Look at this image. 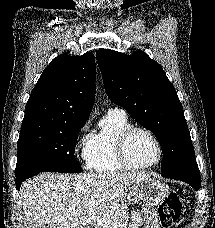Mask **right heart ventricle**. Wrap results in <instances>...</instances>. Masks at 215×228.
<instances>
[{
  "instance_id": "obj_1",
  "label": "right heart ventricle",
  "mask_w": 215,
  "mask_h": 228,
  "mask_svg": "<svg viewBox=\"0 0 215 228\" xmlns=\"http://www.w3.org/2000/svg\"><path fill=\"white\" fill-rule=\"evenodd\" d=\"M129 126L131 123L124 111L107 112L99 130L89 134L84 141L83 158L89 170L103 174L125 170L118 161L115 146L119 134Z\"/></svg>"
}]
</instances>
